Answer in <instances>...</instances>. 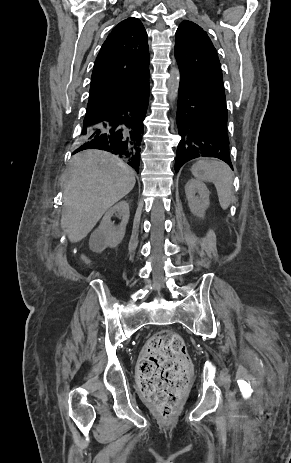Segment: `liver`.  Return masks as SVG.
<instances>
[{"label": "liver", "mask_w": 291, "mask_h": 463, "mask_svg": "<svg viewBox=\"0 0 291 463\" xmlns=\"http://www.w3.org/2000/svg\"><path fill=\"white\" fill-rule=\"evenodd\" d=\"M135 172L119 157L96 149L71 160L64 186L61 227L72 243L85 238L103 214L135 185Z\"/></svg>", "instance_id": "6515ba94"}]
</instances>
